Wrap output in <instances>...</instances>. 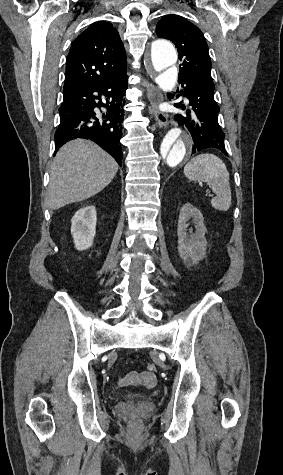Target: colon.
<instances>
[{"instance_id":"colon-1","label":"colon","mask_w":283,"mask_h":475,"mask_svg":"<svg viewBox=\"0 0 283 475\" xmlns=\"http://www.w3.org/2000/svg\"><path fill=\"white\" fill-rule=\"evenodd\" d=\"M156 371H157V367L155 364L149 363L147 365L146 375H148V377L153 378L152 376L155 375Z\"/></svg>"}]
</instances>
